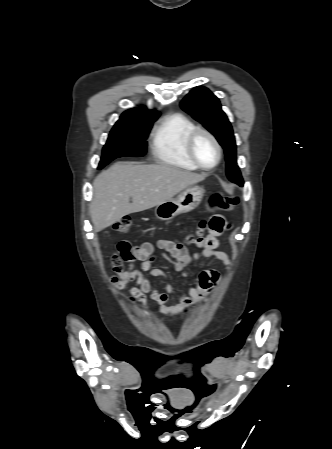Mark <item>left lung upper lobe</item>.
I'll list each match as a JSON object with an SVG mask.
<instances>
[{
	"label": "left lung upper lobe",
	"instance_id": "left-lung-upper-lobe-1",
	"mask_svg": "<svg viewBox=\"0 0 332 449\" xmlns=\"http://www.w3.org/2000/svg\"><path fill=\"white\" fill-rule=\"evenodd\" d=\"M181 107L216 137L226 155L227 177L233 183L243 186V179L236 161L233 130L221 109L219 99L209 89L198 86L185 96Z\"/></svg>",
	"mask_w": 332,
	"mask_h": 449
}]
</instances>
